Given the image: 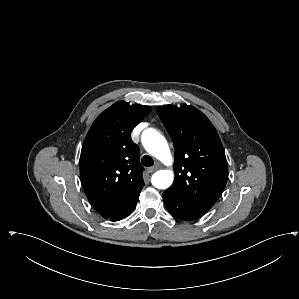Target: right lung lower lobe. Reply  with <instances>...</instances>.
<instances>
[{
    "label": "right lung lower lobe",
    "mask_w": 299,
    "mask_h": 299,
    "mask_svg": "<svg viewBox=\"0 0 299 299\" xmlns=\"http://www.w3.org/2000/svg\"><path fill=\"white\" fill-rule=\"evenodd\" d=\"M139 196H137L131 203H129L126 207H124L122 210L108 218L111 221H119L125 217H127L135 208L136 203L138 201Z\"/></svg>",
    "instance_id": "1"
}]
</instances>
